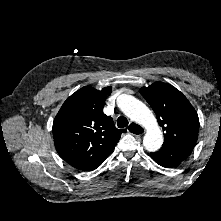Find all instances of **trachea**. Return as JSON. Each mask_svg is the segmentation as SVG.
Masks as SVG:
<instances>
[{"label": "trachea", "mask_w": 221, "mask_h": 221, "mask_svg": "<svg viewBox=\"0 0 221 221\" xmlns=\"http://www.w3.org/2000/svg\"><path fill=\"white\" fill-rule=\"evenodd\" d=\"M128 125V120L126 117L124 116H120L118 119H117V126L119 128H124Z\"/></svg>", "instance_id": "obj_1"}]
</instances>
